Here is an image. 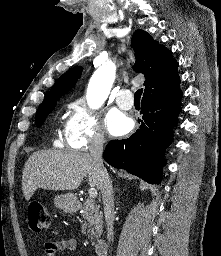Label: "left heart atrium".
<instances>
[{"mask_svg":"<svg viewBox=\"0 0 221 256\" xmlns=\"http://www.w3.org/2000/svg\"><path fill=\"white\" fill-rule=\"evenodd\" d=\"M131 120L117 109H111L105 117V126L110 135L119 136L131 129Z\"/></svg>","mask_w":221,"mask_h":256,"instance_id":"1","label":"left heart atrium"}]
</instances>
